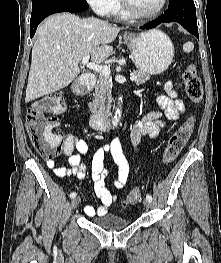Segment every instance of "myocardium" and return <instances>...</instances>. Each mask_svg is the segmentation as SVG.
Here are the masks:
<instances>
[{
	"label": "myocardium",
	"instance_id": "1",
	"mask_svg": "<svg viewBox=\"0 0 221 263\" xmlns=\"http://www.w3.org/2000/svg\"><path fill=\"white\" fill-rule=\"evenodd\" d=\"M124 10L131 16L139 19H149L159 15L166 7L167 0H162L157 9L151 12H141L137 10L130 0H120Z\"/></svg>",
	"mask_w": 221,
	"mask_h": 263
}]
</instances>
